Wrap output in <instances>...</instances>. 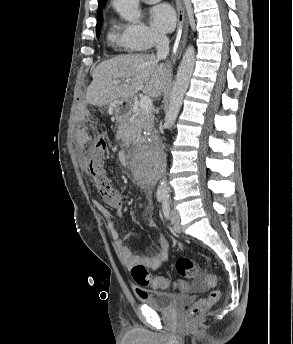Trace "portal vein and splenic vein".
<instances>
[{
  "label": "portal vein and splenic vein",
  "mask_w": 293,
  "mask_h": 344,
  "mask_svg": "<svg viewBox=\"0 0 293 344\" xmlns=\"http://www.w3.org/2000/svg\"><path fill=\"white\" fill-rule=\"evenodd\" d=\"M115 84H119V81H114ZM153 104L152 100L148 96H142L140 99V109L143 113H150L152 110Z\"/></svg>",
  "instance_id": "1"
}]
</instances>
